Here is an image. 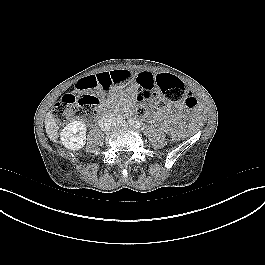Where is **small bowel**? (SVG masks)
I'll use <instances>...</instances> for the list:
<instances>
[{"instance_id":"small-bowel-1","label":"small bowel","mask_w":265,"mask_h":265,"mask_svg":"<svg viewBox=\"0 0 265 265\" xmlns=\"http://www.w3.org/2000/svg\"><path fill=\"white\" fill-rule=\"evenodd\" d=\"M96 76H104L109 79L111 82V86H122L127 87L128 92L131 95H135L138 88H156L154 79L156 74L151 72H142L140 73L136 79H134L133 75L126 70H115L110 72H104L97 74ZM172 105L167 104L162 106L160 109L153 112V117L160 118L167 115L171 109ZM174 108L177 110L184 109L183 103L177 104Z\"/></svg>"}]
</instances>
